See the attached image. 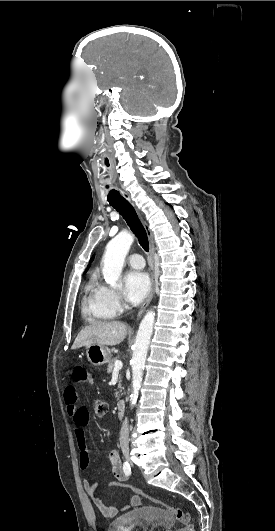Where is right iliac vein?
<instances>
[{
  "label": "right iliac vein",
  "instance_id": "1",
  "mask_svg": "<svg viewBox=\"0 0 275 531\" xmlns=\"http://www.w3.org/2000/svg\"><path fill=\"white\" fill-rule=\"evenodd\" d=\"M125 458L129 461V455L128 454H125Z\"/></svg>",
  "mask_w": 275,
  "mask_h": 531
}]
</instances>
